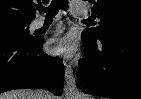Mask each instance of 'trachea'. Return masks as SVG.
Instances as JSON below:
<instances>
[{
    "label": "trachea",
    "mask_w": 141,
    "mask_h": 99,
    "mask_svg": "<svg viewBox=\"0 0 141 99\" xmlns=\"http://www.w3.org/2000/svg\"><path fill=\"white\" fill-rule=\"evenodd\" d=\"M62 9L66 11L68 9V0H52L49 7H39L38 10L42 13H46V20L52 21L55 15Z\"/></svg>",
    "instance_id": "3493384b"
}]
</instances>
